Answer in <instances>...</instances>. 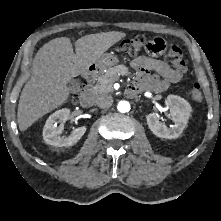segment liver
Wrapping results in <instances>:
<instances>
[{"label": "liver", "instance_id": "obj_1", "mask_svg": "<svg viewBox=\"0 0 221 221\" xmlns=\"http://www.w3.org/2000/svg\"><path fill=\"white\" fill-rule=\"evenodd\" d=\"M123 37L121 32L89 34L75 42V53L69 38L60 37L43 45L32 65L31 77L19 99L17 121L25 131L45 114L69 99L67 84L83 75L89 66Z\"/></svg>", "mask_w": 221, "mask_h": 221}]
</instances>
